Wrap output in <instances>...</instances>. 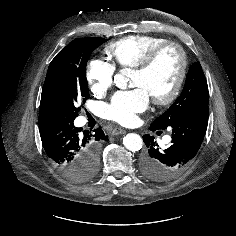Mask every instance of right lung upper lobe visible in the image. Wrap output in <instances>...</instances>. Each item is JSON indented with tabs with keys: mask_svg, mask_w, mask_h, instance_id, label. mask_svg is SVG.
<instances>
[{
	"mask_svg": "<svg viewBox=\"0 0 236 236\" xmlns=\"http://www.w3.org/2000/svg\"><path fill=\"white\" fill-rule=\"evenodd\" d=\"M51 116H52L51 114L39 109V119L45 118V117H51Z\"/></svg>",
	"mask_w": 236,
	"mask_h": 236,
	"instance_id": "right-lung-upper-lobe-1",
	"label": "right lung upper lobe"
}]
</instances>
